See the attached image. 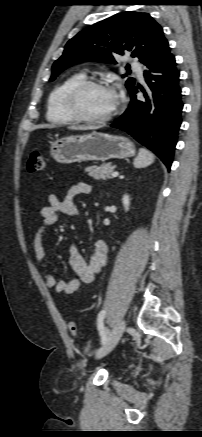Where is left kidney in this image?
Returning a JSON list of instances; mask_svg holds the SVG:
<instances>
[{
  "label": "left kidney",
  "mask_w": 202,
  "mask_h": 437,
  "mask_svg": "<svg viewBox=\"0 0 202 437\" xmlns=\"http://www.w3.org/2000/svg\"><path fill=\"white\" fill-rule=\"evenodd\" d=\"M122 202H123L125 210L128 211L129 210V205H130V198H129V196L128 195H124L123 199H122Z\"/></svg>",
  "instance_id": "left-kidney-1"
}]
</instances>
